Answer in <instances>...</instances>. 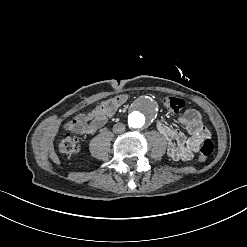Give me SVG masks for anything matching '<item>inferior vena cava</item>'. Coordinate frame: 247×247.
Masks as SVG:
<instances>
[{"instance_id": "602c4592", "label": "inferior vena cava", "mask_w": 247, "mask_h": 247, "mask_svg": "<svg viewBox=\"0 0 247 247\" xmlns=\"http://www.w3.org/2000/svg\"><path fill=\"white\" fill-rule=\"evenodd\" d=\"M125 131V125L123 123H116L114 126H113V132L114 133H122Z\"/></svg>"}]
</instances>
